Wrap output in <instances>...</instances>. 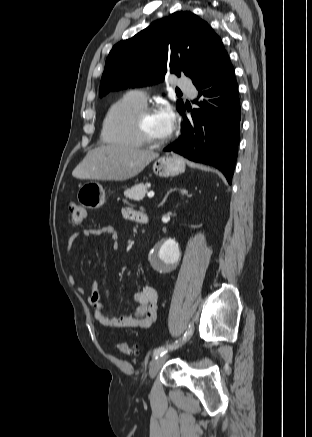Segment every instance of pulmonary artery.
<instances>
[{"label":"pulmonary artery","mask_w":312,"mask_h":437,"mask_svg":"<svg viewBox=\"0 0 312 437\" xmlns=\"http://www.w3.org/2000/svg\"><path fill=\"white\" fill-rule=\"evenodd\" d=\"M176 84L180 89L187 91L190 95L193 96L196 94L195 88L188 81H186L182 78H178L176 80ZM131 94L133 97L138 99L140 102H142V103L146 102L147 96L143 91L135 90V91L131 92Z\"/></svg>","instance_id":"1"}]
</instances>
